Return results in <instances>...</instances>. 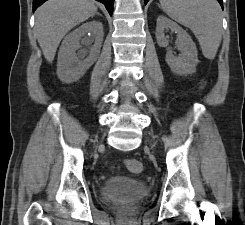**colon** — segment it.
I'll use <instances>...</instances> for the list:
<instances>
[{"label":"colon","mask_w":245,"mask_h":225,"mask_svg":"<svg viewBox=\"0 0 245 225\" xmlns=\"http://www.w3.org/2000/svg\"><path fill=\"white\" fill-rule=\"evenodd\" d=\"M124 164L126 169L131 173H140L143 170V164L139 160L128 159Z\"/></svg>","instance_id":"5ec220e1"}]
</instances>
